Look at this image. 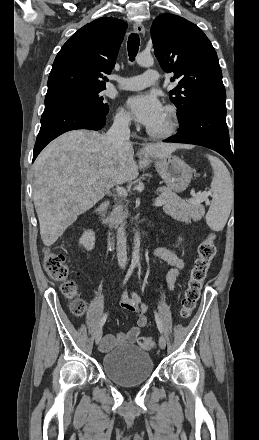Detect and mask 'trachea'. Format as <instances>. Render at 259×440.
<instances>
[{"label":"trachea","mask_w":259,"mask_h":440,"mask_svg":"<svg viewBox=\"0 0 259 440\" xmlns=\"http://www.w3.org/2000/svg\"><path fill=\"white\" fill-rule=\"evenodd\" d=\"M140 45V39L138 34H131L128 38L127 46H128V54L130 61H133L135 56L138 53Z\"/></svg>","instance_id":"obj_1"}]
</instances>
